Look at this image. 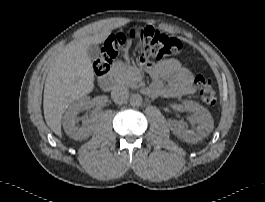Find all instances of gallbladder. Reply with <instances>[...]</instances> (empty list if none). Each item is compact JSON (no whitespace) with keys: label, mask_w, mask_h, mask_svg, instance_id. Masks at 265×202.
Here are the masks:
<instances>
[{"label":"gallbladder","mask_w":265,"mask_h":202,"mask_svg":"<svg viewBox=\"0 0 265 202\" xmlns=\"http://www.w3.org/2000/svg\"><path fill=\"white\" fill-rule=\"evenodd\" d=\"M87 54L91 61H95L100 56V48L97 44H90L87 48Z\"/></svg>","instance_id":"obj_1"}]
</instances>
